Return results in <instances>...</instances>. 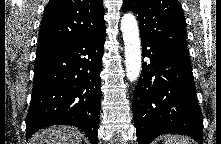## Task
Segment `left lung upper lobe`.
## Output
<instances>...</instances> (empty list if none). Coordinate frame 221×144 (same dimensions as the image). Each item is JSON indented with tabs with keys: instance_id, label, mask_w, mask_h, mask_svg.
I'll return each instance as SVG.
<instances>
[{
	"instance_id": "obj_1",
	"label": "left lung upper lobe",
	"mask_w": 221,
	"mask_h": 144,
	"mask_svg": "<svg viewBox=\"0 0 221 144\" xmlns=\"http://www.w3.org/2000/svg\"><path fill=\"white\" fill-rule=\"evenodd\" d=\"M122 11L138 15L141 39L189 53L186 22L178 0H124Z\"/></svg>"
}]
</instances>
